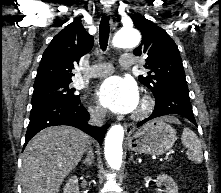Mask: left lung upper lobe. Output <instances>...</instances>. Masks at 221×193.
<instances>
[{"instance_id":"1","label":"left lung upper lobe","mask_w":221,"mask_h":193,"mask_svg":"<svg viewBox=\"0 0 221 193\" xmlns=\"http://www.w3.org/2000/svg\"><path fill=\"white\" fill-rule=\"evenodd\" d=\"M135 27L142 33L141 44L134 49L136 56H147L146 76L139 81L160 98L173 87H187L182 59L175 42L166 31L138 13L132 16Z\"/></svg>"}]
</instances>
